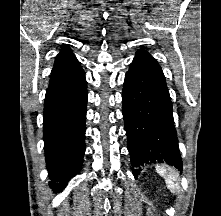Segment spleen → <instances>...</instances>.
<instances>
[{
    "instance_id": "3e777b00",
    "label": "spleen",
    "mask_w": 221,
    "mask_h": 216,
    "mask_svg": "<svg viewBox=\"0 0 221 216\" xmlns=\"http://www.w3.org/2000/svg\"><path fill=\"white\" fill-rule=\"evenodd\" d=\"M156 170L159 173V175L165 179L166 186L172 193L179 192L180 179L178 173H176L174 169H167L164 166H157Z\"/></svg>"
}]
</instances>
